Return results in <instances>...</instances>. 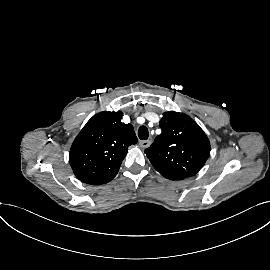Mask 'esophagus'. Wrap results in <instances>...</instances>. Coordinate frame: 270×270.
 I'll return each instance as SVG.
<instances>
[{
	"mask_svg": "<svg viewBox=\"0 0 270 270\" xmlns=\"http://www.w3.org/2000/svg\"><path fill=\"white\" fill-rule=\"evenodd\" d=\"M150 141L149 140H142V141H140L139 142V145L142 147V148H147V147H149V145H150Z\"/></svg>",
	"mask_w": 270,
	"mask_h": 270,
	"instance_id": "34e87169",
	"label": "esophagus"
}]
</instances>
